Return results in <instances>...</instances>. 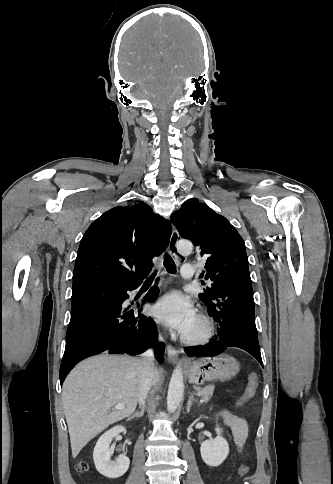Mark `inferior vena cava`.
Returning a JSON list of instances; mask_svg holds the SVG:
<instances>
[{"label":"inferior vena cava","instance_id":"1","mask_svg":"<svg viewBox=\"0 0 333 484\" xmlns=\"http://www.w3.org/2000/svg\"><path fill=\"white\" fill-rule=\"evenodd\" d=\"M138 366V403L142 407L153 383L154 353L152 349L144 352L136 361Z\"/></svg>","mask_w":333,"mask_h":484}]
</instances>
